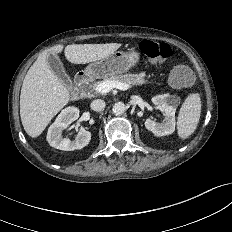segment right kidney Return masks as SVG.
Masks as SVG:
<instances>
[{"label":"right kidney","instance_id":"1","mask_svg":"<svg viewBox=\"0 0 232 232\" xmlns=\"http://www.w3.org/2000/svg\"><path fill=\"white\" fill-rule=\"evenodd\" d=\"M78 117L79 109L76 107H67L61 111L55 122L48 129L47 141L50 146L64 151H73L82 149L89 144L91 133L83 127L80 128L74 141L62 137V130L66 129Z\"/></svg>","mask_w":232,"mask_h":232}]
</instances>
